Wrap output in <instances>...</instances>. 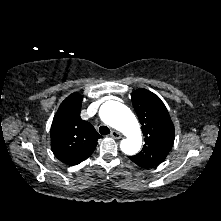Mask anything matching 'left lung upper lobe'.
Returning <instances> with one entry per match:
<instances>
[{
	"instance_id": "1",
	"label": "left lung upper lobe",
	"mask_w": 221,
	"mask_h": 221,
	"mask_svg": "<svg viewBox=\"0 0 221 221\" xmlns=\"http://www.w3.org/2000/svg\"><path fill=\"white\" fill-rule=\"evenodd\" d=\"M131 97L145 144L142 151L130 159L143 166H157L167 157L174 143L175 131L170 115L161 99L146 89L134 91Z\"/></svg>"
}]
</instances>
